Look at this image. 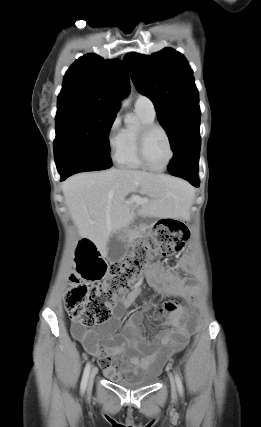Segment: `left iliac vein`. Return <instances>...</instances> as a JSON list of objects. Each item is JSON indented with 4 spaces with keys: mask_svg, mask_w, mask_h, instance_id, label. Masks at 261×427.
<instances>
[{
    "mask_svg": "<svg viewBox=\"0 0 261 427\" xmlns=\"http://www.w3.org/2000/svg\"><path fill=\"white\" fill-rule=\"evenodd\" d=\"M169 377H170L172 395L176 396L177 391H176V382H175V379H174V377L171 374L169 375Z\"/></svg>",
    "mask_w": 261,
    "mask_h": 427,
    "instance_id": "1",
    "label": "left iliac vein"
}]
</instances>
